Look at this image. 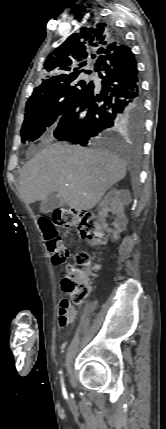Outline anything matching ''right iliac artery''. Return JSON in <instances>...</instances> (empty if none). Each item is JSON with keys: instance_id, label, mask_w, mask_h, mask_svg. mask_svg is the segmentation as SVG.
<instances>
[{"instance_id": "1", "label": "right iliac artery", "mask_w": 166, "mask_h": 429, "mask_svg": "<svg viewBox=\"0 0 166 429\" xmlns=\"http://www.w3.org/2000/svg\"><path fill=\"white\" fill-rule=\"evenodd\" d=\"M60 374H62V371H60ZM61 381H62V387L64 388V383H63L62 378H61Z\"/></svg>"}]
</instances>
